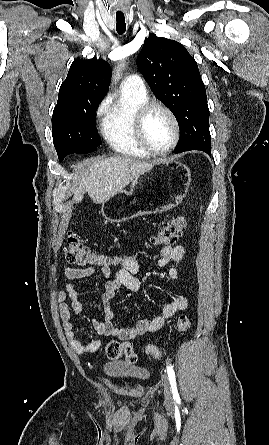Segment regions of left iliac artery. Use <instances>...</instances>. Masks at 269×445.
I'll return each mask as SVG.
<instances>
[{
    "label": "left iliac artery",
    "instance_id": "44dca946",
    "mask_svg": "<svg viewBox=\"0 0 269 445\" xmlns=\"http://www.w3.org/2000/svg\"><path fill=\"white\" fill-rule=\"evenodd\" d=\"M167 373H168V377L170 380V384L172 387V393H173V397L175 399L179 398V394H178V390H177V386H176V378H175V373L174 370L171 366H167Z\"/></svg>",
    "mask_w": 269,
    "mask_h": 445
}]
</instances>
